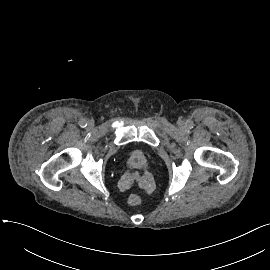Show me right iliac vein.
Returning a JSON list of instances; mask_svg holds the SVG:
<instances>
[{"mask_svg":"<svg viewBox=\"0 0 270 270\" xmlns=\"http://www.w3.org/2000/svg\"><path fill=\"white\" fill-rule=\"evenodd\" d=\"M88 126L91 128V127H93V123L92 122H89L88 123Z\"/></svg>","mask_w":270,"mask_h":270,"instance_id":"right-iliac-vein-1","label":"right iliac vein"}]
</instances>
